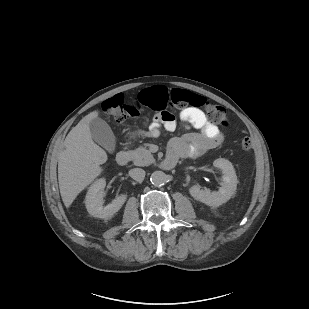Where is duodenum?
<instances>
[{"label": "duodenum", "mask_w": 309, "mask_h": 309, "mask_svg": "<svg viewBox=\"0 0 309 309\" xmlns=\"http://www.w3.org/2000/svg\"><path fill=\"white\" fill-rule=\"evenodd\" d=\"M116 162L120 166H125V165L128 164V162H129V155H128V152L125 149H123V150L118 152V154L116 156ZM175 163L176 162L173 161V160L165 159L163 161L162 165H163L164 168L170 169V168L175 166Z\"/></svg>", "instance_id": "410a0bca"}]
</instances>
